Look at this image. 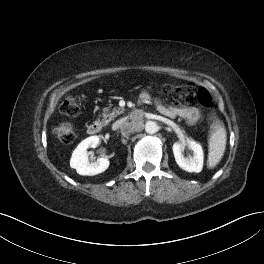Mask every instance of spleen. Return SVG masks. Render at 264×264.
Instances as JSON below:
<instances>
[{
  "label": "spleen",
  "mask_w": 264,
  "mask_h": 264,
  "mask_svg": "<svg viewBox=\"0 0 264 264\" xmlns=\"http://www.w3.org/2000/svg\"><path fill=\"white\" fill-rule=\"evenodd\" d=\"M226 130L218 125L209 138L208 168H214L224 155L226 148Z\"/></svg>",
  "instance_id": "spleen-1"
}]
</instances>
